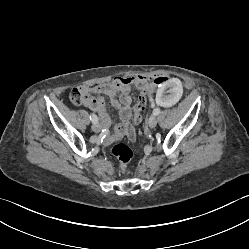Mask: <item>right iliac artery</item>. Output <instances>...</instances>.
Returning <instances> with one entry per match:
<instances>
[{"label":"right iliac artery","instance_id":"82829eb1","mask_svg":"<svg viewBox=\"0 0 249 249\" xmlns=\"http://www.w3.org/2000/svg\"><path fill=\"white\" fill-rule=\"evenodd\" d=\"M90 120L93 122V123H97L98 122V118L95 114H91L90 115Z\"/></svg>","mask_w":249,"mask_h":249}]
</instances>
